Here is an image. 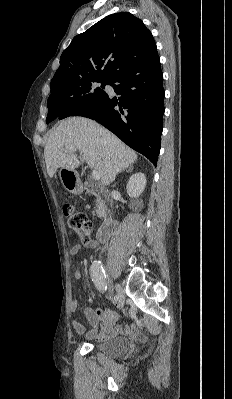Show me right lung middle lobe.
Returning <instances> with one entry per match:
<instances>
[{
	"instance_id": "1",
	"label": "right lung middle lobe",
	"mask_w": 232,
	"mask_h": 399,
	"mask_svg": "<svg viewBox=\"0 0 232 399\" xmlns=\"http://www.w3.org/2000/svg\"><path fill=\"white\" fill-rule=\"evenodd\" d=\"M110 79L95 80L82 83L64 93L50 95L47 101L48 115L46 123L56 119L61 113L70 116L80 109L94 106L100 103L107 95L104 91ZM96 83H102L97 87Z\"/></svg>"
}]
</instances>
